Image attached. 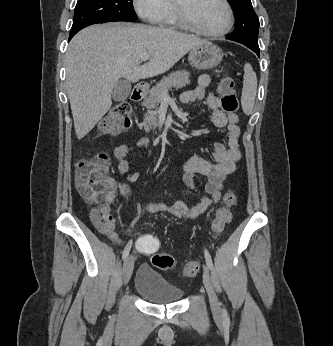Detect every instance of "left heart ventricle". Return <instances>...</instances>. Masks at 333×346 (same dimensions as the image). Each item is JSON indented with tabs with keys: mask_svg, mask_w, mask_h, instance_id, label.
<instances>
[{
	"mask_svg": "<svg viewBox=\"0 0 333 346\" xmlns=\"http://www.w3.org/2000/svg\"><path fill=\"white\" fill-rule=\"evenodd\" d=\"M188 12L203 30L217 32L227 23V11L221 0H188Z\"/></svg>",
	"mask_w": 333,
	"mask_h": 346,
	"instance_id": "b2bd125f",
	"label": "left heart ventricle"
}]
</instances>
